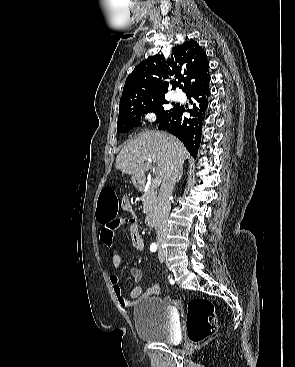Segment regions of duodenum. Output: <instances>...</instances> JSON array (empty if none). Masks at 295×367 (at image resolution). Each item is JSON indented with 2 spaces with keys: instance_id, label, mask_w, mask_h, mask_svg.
<instances>
[{
  "instance_id": "duodenum-1",
  "label": "duodenum",
  "mask_w": 295,
  "mask_h": 367,
  "mask_svg": "<svg viewBox=\"0 0 295 367\" xmlns=\"http://www.w3.org/2000/svg\"><path fill=\"white\" fill-rule=\"evenodd\" d=\"M142 182H144L143 179ZM157 219H158V212L156 210H153L146 216L145 222L147 226L152 227L156 224Z\"/></svg>"
}]
</instances>
